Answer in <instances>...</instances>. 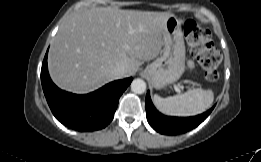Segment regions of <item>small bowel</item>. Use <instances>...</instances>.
Listing matches in <instances>:
<instances>
[{"label": "small bowel", "mask_w": 261, "mask_h": 162, "mask_svg": "<svg viewBox=\"0 0 261 162\" xmlns=\"http://www.w3.org/2000/svg\"><path fill=\"white\" fill-rule=\"evenodd\" d=\"M189 67H192V64H191V63H189Z\"/></svg>", "instance_id": "1"}]
</instances>
